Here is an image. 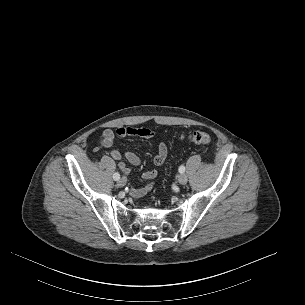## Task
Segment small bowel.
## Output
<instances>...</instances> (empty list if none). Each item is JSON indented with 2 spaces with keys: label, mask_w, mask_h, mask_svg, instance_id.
<instances>
[{
  "label": "small bowel",
  "mask_w": 305,
  "mask_h": 305,
  "mask_svg": "<svg viewBox=\"0 0 305 305\" xmlns=\"http://www.w3.org/2000/svg\"><path fill=\"white\" fill-rule=\"evenodd\" d=\"M155 135V132L149 128H143V127H118L115 130L112 129H106L103 131L101 135V146L106 149H111L110 155L115 160H121L122 158H125L129 163H131L134 166H138L141 164L142 160L141 157L130 151H126L122 153L119 149L114 148V141L115 138H125L128 136H137L144 139H150L153 138ZM168 154L167 145L165 142H160L158 145V151L157 154L154 157V164L156 166H161L166 161ZM120 170L125 173L129 174L131 172V169L123 162L119 163ZM157 176V171L155 169L147 170L143 172L142 178L148 181L153 180ZM154 187V183L150 182L144 187L140 188H132L131 194L134 197H143L148 192H150Z\"/></svg>",
  "instance_id": "small-bowel-1"
}]
</instances>
